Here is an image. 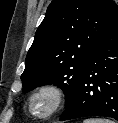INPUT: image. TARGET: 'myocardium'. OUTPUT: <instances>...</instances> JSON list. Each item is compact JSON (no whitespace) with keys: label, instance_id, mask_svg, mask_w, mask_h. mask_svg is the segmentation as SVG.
I'll return each instance as SVG.
<instances>
[{"label":"myocardium","instance_id":"obj_1","mask_svg":"<svg viewBox=\"0 0 118 123\" xmlns=\"http://www.w3.org/2000/svg\"><path fill=\"white\" fill-rule=\"evenodd\" d=\"M42 96H47L50 98V108L47 112L43 114L36 113L34 111V101ZM65 93L63 88L53 82L43 83L37 86L28 96L27 108L30 115L37 119H48L55 115L64 103Z\"/></svg>","mask_w":118,"mask_h":123}]
</instances>
